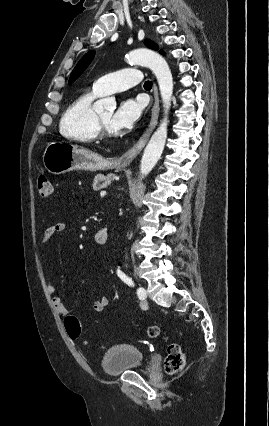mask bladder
I'll return each instance as SVG.
<instances>
[{
	"label": "bladder",
	"mask_w": 269,
	"mask_h": 426,
	"mask_svg": "<svg viewBox=\"0 0 269 426\" xmlns=\"http://www.w3.org/2000/svg\"><path fill=\"white\" fill-rule=\"evenodd\" d=\"M144 355L140 349L129 344H118L110 347L101 359L102 370L110 376H118L140 367Z\"/></svg>",
	"instance_id": "obj_1"
}]
</instances>
